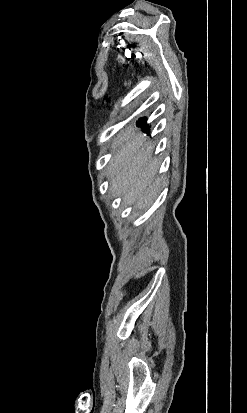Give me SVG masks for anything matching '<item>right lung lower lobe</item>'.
<instances>
[{
    "instance_id": "98d812e1",
    "label": "right lung lower lobe",
    "mask_w": 247,
    "mask_h": 413,
    "mask_svg": "<svg viewBox=\"0 0 247 413\" xmlns=\"http://www.w3.org/2000/svg\"><path fill=\"white\" fill-rule=\"evenodd\" d=\"M137 126L141 127L144 131H147L148 125L146 124V118H140L137 122Z\"/></svg>"
}]
</instances>
